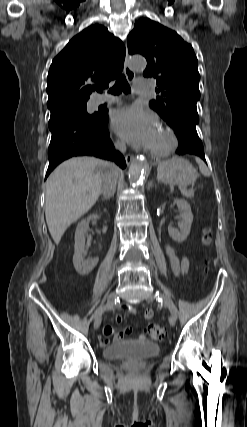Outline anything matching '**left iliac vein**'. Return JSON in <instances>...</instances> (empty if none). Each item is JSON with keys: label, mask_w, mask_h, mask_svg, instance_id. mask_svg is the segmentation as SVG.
<instances>
[{"label": "left iliac vein", "mask_w": 247, "mask_h": 427, "mask_svg": "<svg viewBox=\"0 0 247 427\" xmlns=\"http://www.w3.org/2000/svg\"><path fill=\"white\" fill-rule=\"evenodd\" d=\"M154 299H155V296L152 293H150L146 296L147 302H153ZM169 323L171 326H175V324H176V317L173 314H170V316H169Z\"/></svg>", "instance_id": "4c4485c4"}]
</instances>
